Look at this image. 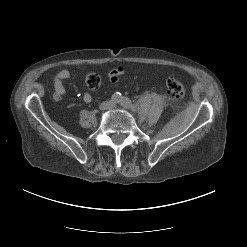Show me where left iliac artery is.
<instances>
[{"mask_svg": "<svg viewBox=\"0 0 247 247\" xmlns=\"http://www.w3.org/2000/svg\"><path fill=\"white\" fill-rule=\"evenodd\" d=\"M120 104L124 107V108H132V102L129 98L127 97H122Z\"/></svg>", "mask_w": 247, "mask_h": 247, "instance_id": "44dca946", "label": "left iliac artery"}]
</instances>
